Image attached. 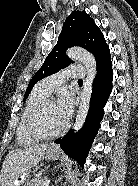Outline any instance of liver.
Masks as SVG:
<instances>
[{"label":"liver","mask_w":138,"mask_h":186,"mask_svg":"<svg viewBox=\"0 0 138 186\" xmlns=\"http://www.w3.org/2000/svg\"><path fill=\"white\" fill-rule=\"evenodd\" d=\"M48 147V144H38L21 149H12L2 165L0 186H12L17 177L30 172L31 168L41 161Z\"/></svg>","instance_id":"liver-1"}]
</instances>
